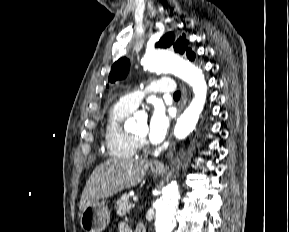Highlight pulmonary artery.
<instances>
[{"label":"pulmonary artery","mask_w":289,"mask_h":232,"mask_svg":"<svg viewBox=\"0 0 289 232\" xmlns=\"http://www.w3.org/2000/svg\"><path fill=\"white\" fill-rule=\"evenodd\" d=\"M147 92L170 94L175 92V83L170 78H161L150 83L145 91H135L120 98V102L127 108L134 110L137 108Z\"/></svg>","instance_id":"e3ab8cb5"}]
</instances>
